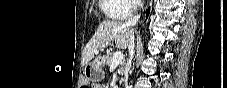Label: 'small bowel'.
<instances>
[{"label":"small bowel","instance_id":"small-bowel-1","mask_svg":"<svg viewBox=\"0 0 227 88\" xmlns=\"http://www.w3.org/2000/svg\"><path fill=\"white\" fill-rule=\"evenodd\" d=\"M93 87H95V88H101L102 86L99 85V84H95Z\"/></svg>","mask_w":227,"mask_h":88}]
</instances>
